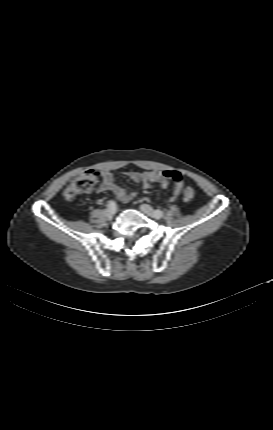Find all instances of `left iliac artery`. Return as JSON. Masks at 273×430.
Instances as JSON below:
<instances>
[{
	"label": "left iliac artery",
	"mask_w": 273,
	"mask_h": 430,
	"mask_svg": "<svg viewBox=\"0 0 273 430\" xmlns=\"http://www.w3.org/2000/svg\"><path fill=\"white\" fill-rule=\"evenodd\" d=\"M155 213H156L158 218H161L163 216V213L160 210H155Z\"/></svg>",
	"instance_id": "obj_1"
}]
</instances>
